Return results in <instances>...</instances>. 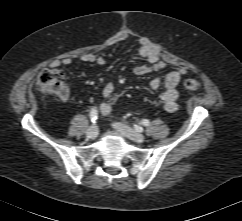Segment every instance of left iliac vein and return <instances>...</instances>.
<instances>
[{
    "mask_svg": "<svg viewBox=\"0 0 242 221\" xmlns=\"http://www.w3.org/2000/svg\"><path fill=\"white\" fill-rule=\"evenodd\" d=\"M113 127L115 130H117L119 133H121L123 136L138 142V143H143L145 141V137L144 135H142L141 133L129 128L128 126L119 123V122H115L113 123Z\"/></svg>",
    "mask_w": 242,
    "mask_h": 221,
    "instance_id": "4c4485c4",
    "label": "left iliac vein"
}]
</instances>
